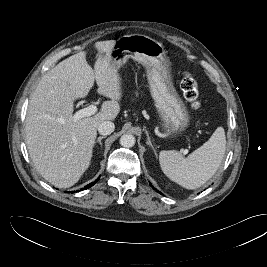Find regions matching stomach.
<instances>
[{
  "instance_id": "stomach-1",
  "label": "stomach",
  "mask_w": 267,
  "mask_h": 267,
  "mask_svg": "<svg viewBox=\"0 0 267 267\" xmlns=\"http://www.w3.org/2000/svg\"><path fill=\"white\" fill-rule=\"evenodd\" d=\"M108 55L117 69L128 58L145 67L154 106L167 135L181 133L189 126L188 109L174 87L170 62L161 43L141 34L126 35L115 41Z\"/></svg>"
}]
</instances>
